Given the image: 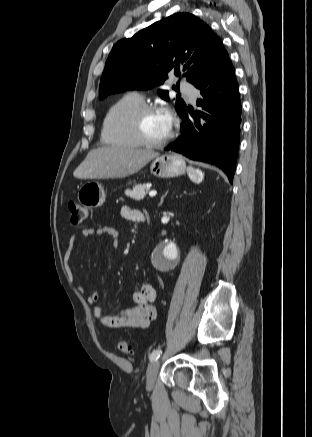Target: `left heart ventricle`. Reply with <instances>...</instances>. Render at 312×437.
Wrapping results in <instances>:
<instances>
[{
	"label": "left heart ventricle",
	"instance_id": "1",
	"mask_svg": "<svg viewBox=\"0 0 312 437\" xmlns=\"http://www.w3.org/2000/svg\"><path fill=\"white\" fill-rule=\"evenodd\" d=\"M142 128L144 134L151 140L159 141L169 134L162 112L151 113L143 119Z\"/></svg>",
	"mask_w": 312,
	"mask_h": 437
}]
</instances>
